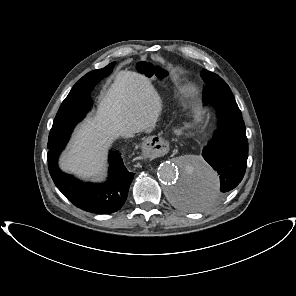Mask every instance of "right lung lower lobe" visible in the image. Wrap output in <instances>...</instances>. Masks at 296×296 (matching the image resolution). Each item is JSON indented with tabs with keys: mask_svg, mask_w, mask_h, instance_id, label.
<instances>
[{
	"mask_svg": "<svg viewBox=\"0 0 296 296\" xmlns=\"http://www.w3.org/2000/svg\"><path fill=\"white\" fill-rule=\"evenodd\" d=\"M86 82V86L95 85ZM68 141L49 148L48 168L57 188L76 207L95 214L117 212L125 203L134 173L129 172L117 151L109 153V177L104 184L85 183L58 168V157Z\"/></svg>",
	"mask_w": 296,
	"mask_h": 296,
	"instance_id": "98d812e1",
	"label": "right lung lower lobe"
}]
</instances>
